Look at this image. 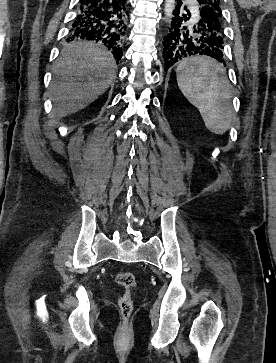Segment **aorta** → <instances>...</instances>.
I'll use <instances>...</instances> for the list:
<instances>
[{
    "label": "aorta",
    "instance_id": "1",
    "mask_svg": "<svg viewBox=\"0 0 276 363\" xmlns=\"http://www.w3.org/2000/svg\"><path fill=\"white\" fill-rule=\"evenodd\" d=\"M175 0H165V15L166 18L168 19V21H170L172 15H173V11L175 9Z\"/></svg>",
    "mask_w": 276,
    "mask_h": 363
}]
</instances>
